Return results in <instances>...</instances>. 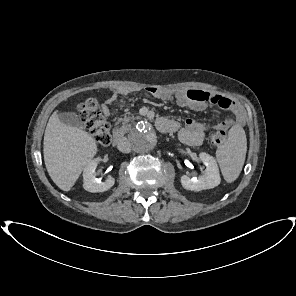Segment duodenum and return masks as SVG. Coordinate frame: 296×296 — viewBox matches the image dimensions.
Returning <instances> with one entry per match:
<instances>
[{
  "label": "duodenum",
  "instance_id": "1",
  "mask_svg": "<svg viewBox=\"0 0 296 296\" xmlns=\"http://www.w3.org/2000/svg\"><path fill=\"white\" fill-rule=\"evenodd\" d=\"M157 127L164 132H170L175 129V123L171 120L161 118L157 121ZM112 143L118 146L122 151L127 150V145L123 140V133L120 129H115L112 135Z\"/></svg>",
  "mask_w": 296,
  "mask_h": 296
}]
</instances>
